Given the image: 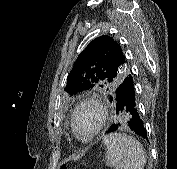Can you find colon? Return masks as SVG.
I'll return each instance as SVG.
<instances>
[{
    "instance_id": "colon-1",
    "label": "colon",
    "mask_w": 177,
    "mask_h": 169,
    "mask_svg": "<svg viewBox=\"0 0 177 169\" xmlns=\"http://www.w3.org/2000/svg\"><path fill=\"white\" fill-rule=\"evenodd\" d=\"M61 169H71V168H69L67 166H62Z\"/></svg>"
}]
</instances>
